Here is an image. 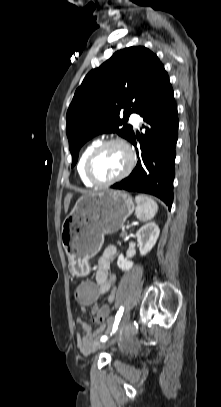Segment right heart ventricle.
Masks as SVG:
<instances>
[{
    "label": "right heart ventricle",
    "mask_w": 221,
    "mask_h": 407,
    "mask_svg": "<svg viewBox=\"0 0 221 407\" xmlns=\"http://www.w3.org/2000/svg\"><path fill=\"white\" fill-rule=\"evenodd\" d=\"M100 142L98 140L91 142L88 144L83 151L81 152L78 162H77V173L78 176L81 180V182L87 186V187H92L93 184L86 178L85 173H84V164L86 161V158L90 154V152L99 144Z\"/></svg>",
    "instance_id": "1"
}]
</instances>
